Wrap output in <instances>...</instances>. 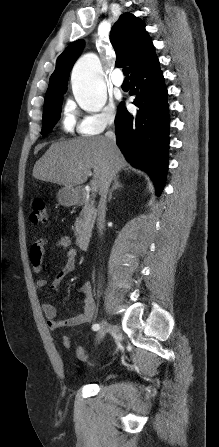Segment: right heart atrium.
<instances>
[{"instance_id":"right-heart-atrium-1","label":"right heart atrium","mask_w":219,"mask_h":447,"mask_svg":"<svg viewBox=\"0 0 219 447\" xmlns=\"http://www.w3.org/2000/svg\"><path fill=\"white\" fill-rule=\"evenodd\" d=\"M116 109L112 103L103 107L100 112L86 115L80 122L79 130L83 135H96L114 125Z\"/></svg>"}]
</instances>
